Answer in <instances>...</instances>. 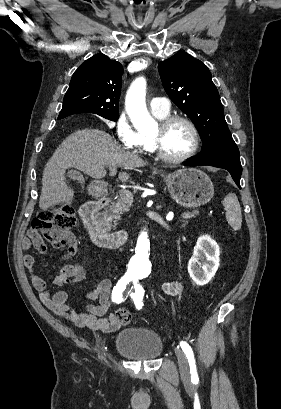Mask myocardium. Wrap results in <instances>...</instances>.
I'll list each match as a JSON object with an SVG mask.
<instances>
[{"mask_svg": "<svg viewBox=\"0 0 281 409\" xmlns=\"http://www.w3.org/2000/svg\"><path fill=\"white\" fill-rule=\"evenodd\" d=\"M174 122L184 123L189 128L192 135V145L190 149L188 150V152L181 156H170L165 153L161 146L162 133ZM145 135L150 151L163 161L169 163H181L187 161L196 154L200 143V136L197 127L188 117L183 115L166 116L165 118L157 122L156 128L153 132L147 133Z\"/></svg>", "mask_w": 281, "mask_h": 409, "instance_id": "1", "label": "myocardium"}]
</instances>
